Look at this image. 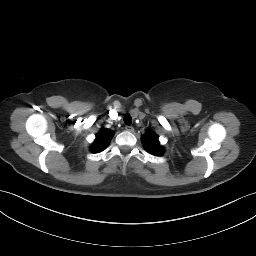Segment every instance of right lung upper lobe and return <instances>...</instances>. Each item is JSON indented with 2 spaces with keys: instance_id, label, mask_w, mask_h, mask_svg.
I'll list each match as a JSON object with an SVG mask.
<instances>
[{
  "instance_id": "cb5924a9",
  "label": "right lung upper lobe",
  "mask_w": 256,
  "mask_h": 256,
  "mask_svg": "<svg viewBox=\"0 0 256 256\" xmlns=\"http://www.w3.org/2000/svg\"><path fill=\"white\" fill-rule=\"evenodd\" d=\"M112 136L113 132L111 130L105 128L101 129L96 135V139L91 147V151L93 153L103 151L108 146Z\"/></svg>"
}]
</instances>
